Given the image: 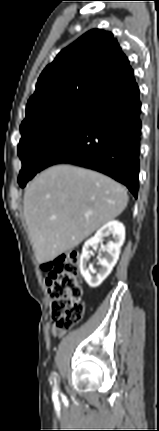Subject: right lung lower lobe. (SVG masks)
<instances>
[{
    "label": "right lung lower lobe",
    "mask_w": 159,
    "mask_h": 431,
    "mask_svg": "<svg viewBox=\"0 0 159 431\" xmlns=\"http://www.w3.org/2000/svg\"><path fill=\"white\" fill-rule=\"evenodd\" d=\"M139 88L94 111L45 154L40 171L70 163L104 173L137 198L141 135Z\"/></svg>",
    "instance_id": "obj_1"
}]
</instances>
